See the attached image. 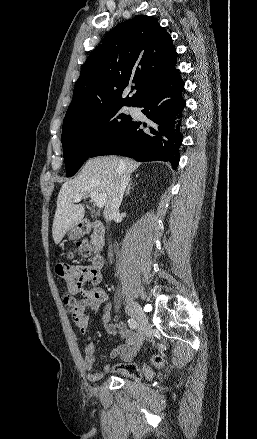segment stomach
<instances>
[{"mask_svg": "<svg viewBox=\"0 0 257 439\" xmlns=\"http://www.w3.org/2000/svg\"><path fill=\"white\" fill-rule=\"evenodd\" d=\"M79 236V231L74 227L68 231V237L70 239H75Z\"/></svg>", "mask_w": 257, "mask_h": 439, "instance_id": "stomach-1", "label": "stomach"}]
</instances>
